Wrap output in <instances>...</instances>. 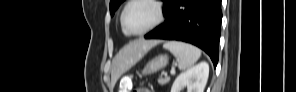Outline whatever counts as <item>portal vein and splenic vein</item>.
Returning a JSON list of instances; mask_svg holds the SVG:
<instances>
[{"mask_svg":"<svg viewBox=\"0 0 296 92\" xmlns=\"http://www.w3.org/2000/svg\"><path fill=\"white\" fill-rule=\"evenodd\" d=\"M171 74H175V69H171Z\"/></svg>","mask_w":296,"mask_h":92,"instance_id":"1","label":"portal vein and splenic vein"}]
</instances>
